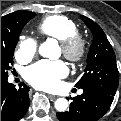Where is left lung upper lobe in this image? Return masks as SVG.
Here are the masks:
<instances>
[{
    "mask_svg": "<svg viewBox=\"0 0 121 121\" xmlns=\"http://www.w3.org/2000/svg\"><path fill=\"white\" fill-rule=\"evenodd\" d=\"M81 19L92 31L93 42L89 49L85 73L75 86L114 96L119 83V72L111 44L97 23L85 16H81Z\"/></svg>",
    "mask_w": 121,
    "mask_h": 121,
    "instance_id": "obj_1",
    "label": "left lung upper lobe"
}]
</instances>
